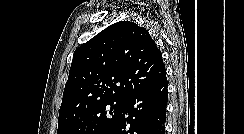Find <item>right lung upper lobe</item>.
I'll use <instances>...</instances> for the list:
<instances>
[{"instance_id": "1", "label": "right lung upper lobe", "mask_w": 244, "mask_h": 134, "mask_svg": "<svg viewBox=\"0 0 244 134\" xmlns=\"http://www.w3.org/2000/svg\"><path fill=\"white\" fill-rule=\"evenodd\" d=\"M165 76L161 52L148 31L130 21L115 23L75 50L59 120L103 101L126 100Z\"/></svg>"}]
</instances>
